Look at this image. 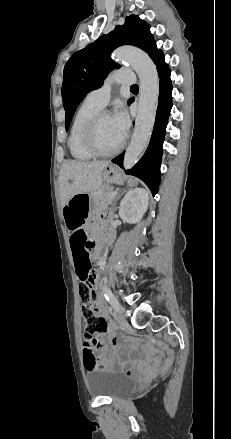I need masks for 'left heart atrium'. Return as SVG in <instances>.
<instances>
[{
  "label": "left heart atrium",
  "mask_w": 231,
  "mask_h": 439,
  "mask_svg": "<svg viewBox=\"0 0 231 439\" xmlns=\"http://www.w3.org/2000/svg\"><path fill=\"white\" fill-rule=\"evenodd\" d=\"M113 126L116 130L117 136L122 142L128 134L130 121L128 115L123 108H118L111 116Z\"/></svg>",
  "instance_id": "1"
}]
</instances>
